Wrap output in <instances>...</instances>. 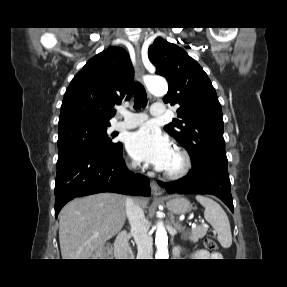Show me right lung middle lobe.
I'll use <instances>...</instances> for the list:
<instances>
[{
  "instance_id": "dd1d6c3e",
  "label": "right lung middle lobe",
  "mask_w": 287,
  "mask_h": 287,
  "mask_svg": "<svg viewBox=\"0 0 287 287\" xmlns=\"http://www.w3.org/2000/svg\"><path fill=\"white\" fill-rule=\"evenodd\" d=\"M109 126L94 123H72L59 127L58 157L71 153H88L103 157H113L122 149L120 142L114 143L117 135H109Z\"/></svg>"
}]
</instances>
